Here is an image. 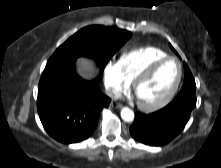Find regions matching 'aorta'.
I'll return each mask as SVG.
<instances>
[{"label": "aorta", "mask_w": 221, "mask_h": 168, "mask_svg": "<svg viewBox=\"0 0 221 168\" xmlns=\"http://www.w3.org/2000/svg\"><path fill=\"white\" fill-rule=\"evenodd\" d=\"M121 118L125 121V122H131L134 120V112L133 110H131L128 107H124L121 110Z\"/></svg>", "instance_id": "762f6f07"}]
</instances>
